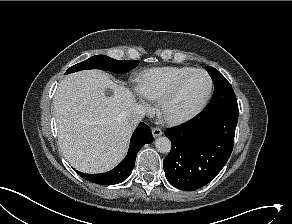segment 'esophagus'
Returning <instances> with one entry per match:
<instances>
[{
	"label": "esophagus",
	"mask_w": 292,
	"mask_h": 224,
	"mask_svg": "<svg viewBox=\"0 0 292 224\" xmlns=\"http://www.w3.org/2000/svg\"><path fill=\"white\" fill-rule=\"evenodd\" d=\"M152 134L154 137H158L163 134L162 130L158 127L152 129Z\"/></svg>",
	"instance_id": "1"
}]
</instances>
